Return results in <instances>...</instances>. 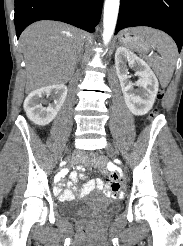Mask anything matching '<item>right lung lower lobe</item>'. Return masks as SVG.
<instances>
[{
    "instance_id": "obj_1",
    "label": "right lung lower lobe",
    "mask_w": 183,
    "mask_h": 246,
    "mask_svg": "<svg viewBox=\"0 0 183 246\" xmlns=\"http://www.w3.org/2000/svg\"><path fill=\"white\" fill-rule=\"evenodd\" d=\"M102 4L103 0H15L17 38L39 20L62 21L92 33L99 23Z\"/></svg>"
}]
</instances>
